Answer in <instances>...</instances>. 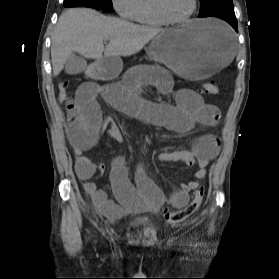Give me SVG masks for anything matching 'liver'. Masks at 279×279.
I'll return each instance as SVG.
<instances>
[{"label": "liver", "mask_w": 279, "mask_h": 279, "mask_svg": "<svg viewBox=\"0 0 279 279\" xmlns=\"http://www.w3.org/2000/svg\"><path fill=\"white\" fill-rule=\"evenodd\" d=\"M162 31L108 17L89 8L68 9L59 17L52 36L53 75L63 70L73 52L96 59V62L103 57L130 56ZM104 41H109L106 47Z\"/></svg>", "instance_id": "1"}]
</instances>
